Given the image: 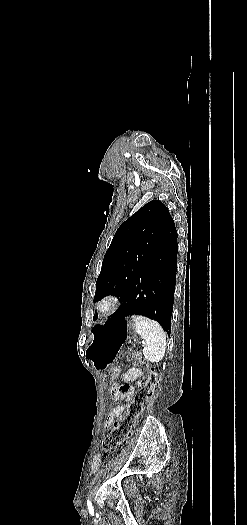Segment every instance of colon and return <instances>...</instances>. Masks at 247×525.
<instances>
[{
	"instance_id": "1",
	"label": "colon",
	"mask_w": 247,
	"mask_h": 525,
	"mask_svg": "<svg viewBox=\"0 0 247 525\" xmlns=\"http://www.w3.org/2000/svg\"><path fill=\"white\" fill-rule=\"evenodd\" d=\"M122 370L119 367L113 368L109 372L111 379H116L121 375ZM160 382V377L155 368L148 369L146 378L142 381L138 391L128 403L127 412L119 421L112 424L109 433L103 440V450L111 451L120 447L127 438L132 434L137 420L140 418L147 400L151 393L156 390Z\"/></svg>"
}]
</instances>
